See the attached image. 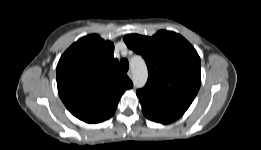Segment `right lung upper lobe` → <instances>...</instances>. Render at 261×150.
I'll list each match as a JSON object with an SVG mask.
<instances>
[{
  "instance_id": "1",
  "label": "right lung upper lobe",
  "mask_w": 261,
  "mask_h": 150,
  "mask_svg": "<svg viewBox=\"0 0 261 150\" xmlns=\"http://www.w3.org/2000/svg\"><path fill=\"white\" fill-rule=\"evenodd\" d=\"M113 51L111 41L92 34L70 46L58 62L59 96L84 122L95 124L112 117L122 94L133 86Z\"/></svg>"
}]
</instances>
